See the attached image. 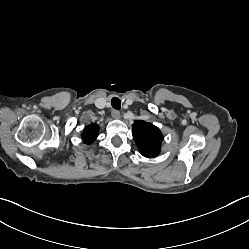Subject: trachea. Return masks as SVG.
Returning <instances> with one entry per match:
<instances>
[{"mask_svg":"<svg viewBox=\"0 0 249 249\" xmlns=\"http://www.w3.org/2000/svg\"><path fill=\"white\" fill-rule=\"evenodd\" d=\"M111 105L114 109L119 110L121 108V101L117 97H113L111 100Z\"/></svg>","mask_w":249,"mask_h":249,"instance_id":"obj_1","label":"trachea"}]
</instances>
